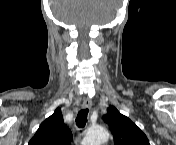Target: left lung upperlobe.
Segmentation results:
<instances>
[{
  "mask_svg": "<svg viewBox=\"0 0 176 145\" xmlns=\"http://www.w3.org/2000/svg\"><path fill=\"white\" fill-rule=\"evenodd\" d=\"M103 119L110 127L115 145H150L148 138L136 124L115 107L110 106Z\"/></svg>",
  "mask_w": 176,
  "mask_h": 145,
  "instance_id": "left-lung-upper-lobe-1",
  "label": "left lung upper lobe"
}]
</instances>
